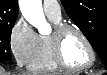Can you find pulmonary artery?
I'll use <instances>...</instances> for the list:
<instances>
[{
	"label": "pulmonary artery",
	"mask_w": 107,
	"mask_h": 75,
	"mask_svg": "<svg viewBox=\"0 0 107 75\" xmlns=\"http://www.w3.org/2000/svg\"><path fill=\"white\" fill-rule=\"evenodd\" d=\"M43 9L47 16L61 19V8L56 0H44Z\"/></svg>",
	"instance_id": "1"
}]
</instances>
